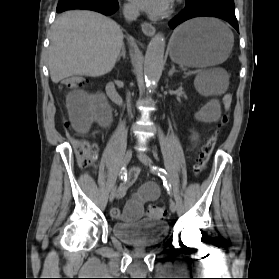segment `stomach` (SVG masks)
<instances>
[{
    "mask_svg": "<svg viewBox=\"0 0 279 279\" xmlns=\"http://www.w3.org/2000/svg\"><path fill=\"white\" fill-rule=\"evenodd\" d=\"M232 34L220 22L200 18L179 26L170 39L173 62L193 68H204L224 62L233 47Z\"/></svg>",
    "mask_w": 279,
    "mask_h": 279,
    "instance_id": "0dacf381",
    "label": "stomach"
}]
</instances>
